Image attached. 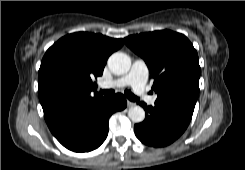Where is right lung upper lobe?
Instances as JSON below:
<instances>
[{
  "mask_svg": "<svg viewBox=\"0 0 245 170\" xmlns=\"http://www.w3.org/2000/svg\"><path fill=\"white\" fill-rule=\"evenodd\" d=\"M123 44L122 39L77 32L62 37L46 51L38 73V93L52 134L103 98L96 92L93 78L103 74L108 57Z\"/></svg>",
  "mask_w": 245,
  "mask_h": 170,
  "instance_id": "cb5924a9",
  "label": "right lung upper lobe"
}]
</instances>
